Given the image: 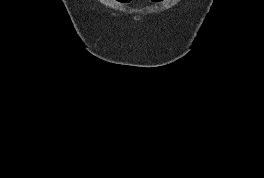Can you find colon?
I'll list each match as a JSON object with an SVG mask.
<instances>
[{
  "mask_svg": "<svg viewBox=\"0 0 264 178\" xmlns=\"http://www.w3.org/2000/svg\"><path fill=\"white\" fill-rule=\"evenodd\" d=\"M118 2H120L121 4H126L128 3L130 0H117ZM152 2L154 3H160L162 2L163 0H151Z\"/></svg>",
  "mask_w": 264,
  "mask_h": 178,
  "instance_id": "colon-1",
  "label": "colon"
}]
</instances>
